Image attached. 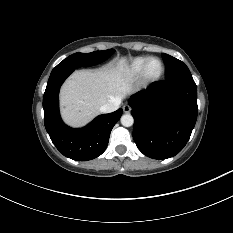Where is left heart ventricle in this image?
<instances>
[{
  "label": "left heart ventricle",
  "mask_w": 233,
  "mask_h": 233,
  "mask_svg": "<svg viewBox=\"0 0 233 233\" xmlns=\"http://www.w3.org/2000/svg\"><path fill=\"white\" fill-rule=\"evenodd\" d=\"M161 70V65L157 60H153L148 65V74L150 76H156Z\"/></svg>",
  "instance_id": "obj_1"
}]
</instances>
